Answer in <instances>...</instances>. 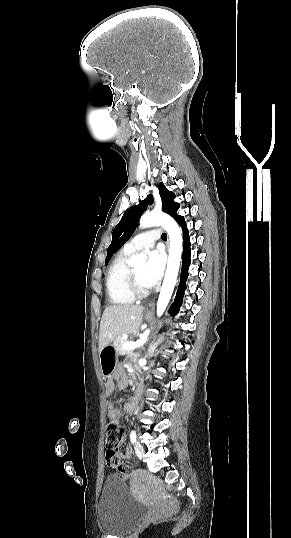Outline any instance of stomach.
<instances>
[{
	"mask_svg": "<svg viewBox=\"0 0 291 538\" xmlns=\"http://www.w3.org/2000/svg\"><path fill=\"white\" fill-rule=\"evenodd\" d=\"M150 316L146 314V318ZM100 370L103 377H109L115 371L118 362V353L113 345L104 347L99 352Z\"/></svg>",
	"mask_w": 291,
	"mask_h": 538,
	"instance_id": "stomach-1",
	"label": "stomach"
}]
</instances>
